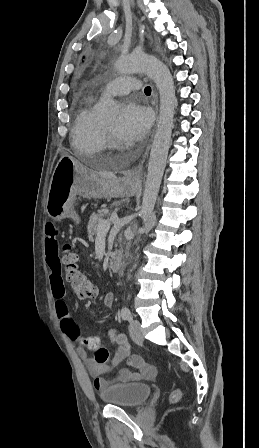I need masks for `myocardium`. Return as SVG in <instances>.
<instances>
[{"label": "myocardium", "instance_id": "myocardium-1", "mask_svg": "<svg viewBox=\"0 0 259 448\" xmlns=\"http://www.w3.org/2000/svg\"><path fill=\"white\" fill-rule=\"evenodd\" d=\"M102 132L105 140L110 143L112 148L115 149L119 148V144H117L116 141L114 140L112 132L104 124H102ZM83 157L84 155L82 153H79V159H82Z\"/></svg>", "mask_w": 259, "mask_h": 448}]
</instances>
